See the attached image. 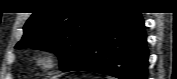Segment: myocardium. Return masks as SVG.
<instances>
[{"instance_id": "obj_1", "label": "myocardium", "mask_w": 177, "mask_h": 79, "mask_svg": "<svg viewBox=\"0 0 177 79\" xmlns=\"http://www.w3.org/2000/svg\"><path fill=\"white\" fill-rule=\"evenodd\" d=\"M56 59L57 56L54 50L50 48H42L34 53L32 63L37 69L48 71L55 66Z\"/></svg>"}]
</instances>
